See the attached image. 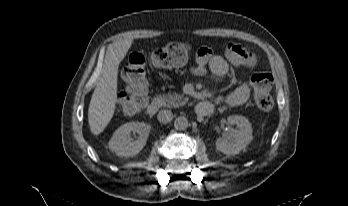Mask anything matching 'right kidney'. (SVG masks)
Returning a JSON list of instances; mask_svg holds the SVG:
<instances>
[{"label": "right kidney", "instance_id": "right-kidney-1", "mask_svg": "<svg viewBox=\"0 0 348 206\" xmlns=\"http://www.w3.org/2000/svg\"><path fill=\"white\" fill-rule=\"evenodd\" d=\"M151 127L143 122H128L120 126L113 134L108 145L117 156H135L145 146ZM139 134L137 140L130 137L131 132Z\"/></svg>", "mask_w": 348, "mask_h": 206}]
</instances>
